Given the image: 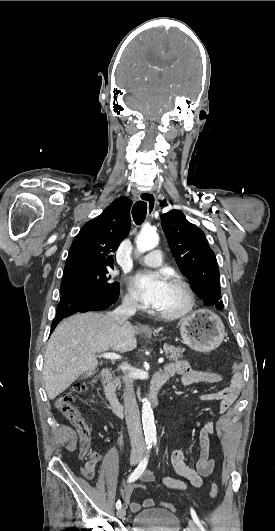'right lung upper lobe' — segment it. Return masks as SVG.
Instances as JSON below:
<instances>
[{
	"mask_svg": "<svg viewBox=\"0 0 275 531\" xmlns=\"http://www.w3.org/2000/svg\"><path fill=\"white\" fill-rule=\"evenodd\" d=\"M131 205L129 198L119 197L85 223L73 240L64 272L83 267H112L113 252L131 227Z\"/></svg>",
	"mask_w": 275,
	"mask_h": 531,
	"instance_id": "obj_1",
	"label": "right lung upper lobe"
}]
</instances>
